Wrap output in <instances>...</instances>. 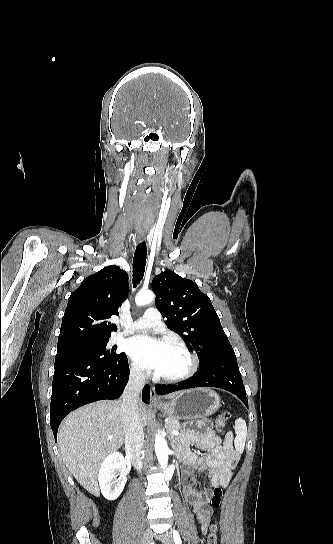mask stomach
<instances>
[{
    "label": "stomach",
    "instance_id": "0dacf381",
    "mask_svg": "<svg viewBox=\"0 0 333 544\" xmlns=\"http://www.w3.org/2000/svg\"><path fill=\"white\" fill-rule=\"evenodd\" d=\"M220 407L219 395L209 388H196L178 393L161 410L176 419L206 418Z\"/></svg>",
    "mask_w": 333,
    "mask_h": 544
}]
</instances>
